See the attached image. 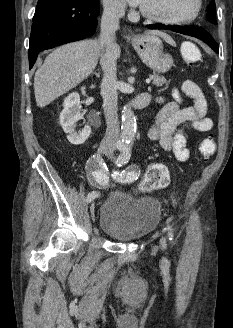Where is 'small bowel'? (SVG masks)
I'll return each mask as SVG.
<instances>
[{
    "mask_svg": "<svg viewBox=\"0 0 233 328\" xmlns=\"http://www.w3.org/2000/svg\"><path fill=\"white\" fill-rule=\"evenodd\" d=\"M181 93L194 101L193 106H182ZM157 101L162 108L148 131V137L157 141L165 151L172 152L178 161H187L186 128L192 127L199 132L213 128V120L207 117V101L202 90L195 82L185 80L180 90L173 89L172 100L159 97Z\"/></svg>",
    "mask_w": 233,
    "mask_h": 328,
    "instance_id": "obj_1",
    "label": "small bowel"
}]
</instances>
